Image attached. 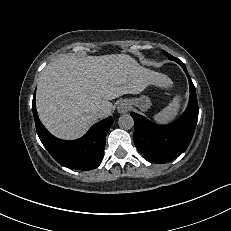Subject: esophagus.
Masks as SVG:
<instances>
[{
    "label": "esophagus",
    "instance_id": "obj_1",
    "mask_svg": "<svg viewBox=\"0 0 231 231\" xmlns=\"http://www.w3.org/2000/svg\"><path fill=\"white\" fill-rule=\"evenodd\" d=\"M129 109H130V106L126 101L120 102L118 107H117L118 112L121 114L127 113L129 111Z\"/></svg>",
    "mask_w": 231,
    "mask_h": 231
}]
</instances>
